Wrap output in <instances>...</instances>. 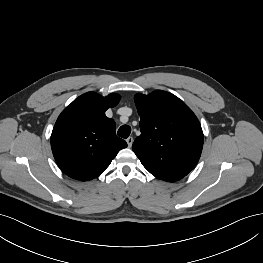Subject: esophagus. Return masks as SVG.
Here are the masks:
<instances>
[{
  "instance_id": "obj_1",
  "label": "esophagus",
  "mask_w": 263,
  "mask_h": 263,
  "mask_svg": "<svg viewBox=\"0 0 263 263\" xmlns=\"http://www.w3.org/2000/svg\"><path fill=\"white\" fill-rule=\"evenodd\" d=\"M133 141H134V139L131 136L126 139V142H127V145L129 148L132 146Z\"/></svg>"
}]
</instances>
